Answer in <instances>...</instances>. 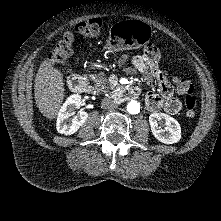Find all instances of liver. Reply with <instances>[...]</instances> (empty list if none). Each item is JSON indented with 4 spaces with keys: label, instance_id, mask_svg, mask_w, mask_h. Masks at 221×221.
<instances>
[{
    "label": "liver",
    "instance_id": "1",
    "mask_svg": "<svg viewBox=\"0 0 221 221\" xmlns=\"http://www.w3.org/2000/svg\"><path fill=\"white\" fill-rule=\"evenodd\" d=\"M35 101L44 117L54 119L65 97L63 74L48 60L41 63L34 80Z\"/></svg>",
    "mask_w": 221,
    "mask_h": 221
}]
</instances>
